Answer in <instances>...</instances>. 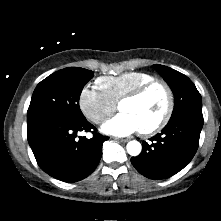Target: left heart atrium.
Segmentation results:
<instances>
[{
	"mask_svg": "<svg viewBox=\"0 0 221 221\" xmlns=\"http://www.w3.org/2000/svg\"><path fill=\"white\" fill-rule=\"evenodd\" d=\"M140 129L139 122L136 118L133 115L124 112L119 113L107 121L102 127V131L105 133L116 136H127Z\"/></svg>",
	"mask_w": 221,
	"mask_h": 221,
	"instance_id": "left-heart-atrium-1",
	"label": "left heart atrium"
}]
</instances>
